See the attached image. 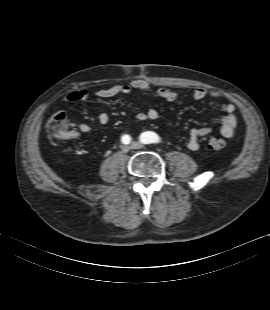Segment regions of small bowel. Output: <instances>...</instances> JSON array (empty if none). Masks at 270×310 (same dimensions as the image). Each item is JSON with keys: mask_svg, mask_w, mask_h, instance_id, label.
Instances as JSON below:
<instances>
[{"mask_svg": "<svg viewBox=\"0 0 270 310\" xmlns=\"http://www.w3.org/2000/svg\"><path fill=\"white\" fill-rule=\"evenodd\" d=\"M140 91L156 98L165 100L167 102H174L177 100L178 95L176 92L169 90V89H153L146 81L137 79L133 80L131 83L126 85L116 84L110 86L108 88H102L95 91L94 95L100 99H107L113 98L119 95H130L133 91ZM89 91L87 89L81 88L75 91H72L65 95L64 101L75 103L85 101L89 98ZM192 97L195 100H201L206 97L211 98H219L220 95L216 92H209L203 87H197L194 89L192 93ZM222 116L220 118V132L221 134L226 137L230 138L234 135L235 128L237 125L235 111L236 107L233 103L226 102L221 105ZM159 118V112L154 109H148L145 112H141L137 115V119L141 122L147 120H157ZM110 121V116L107 112L102 111L98 115V125L99 127H105L108 125ZM78 132H74L75 137L79 135V133H92L96 131V127L90 124L81 122L77 125ZM212 132L210 127H200V128H192L187 137V147L190 150H198L200 147L199 139L204 137Z\"/></svg>", "mask_w": 270, "mask_h": 310, "instance_id": "obj_1", "label": "small bowel"}]
</instances>
